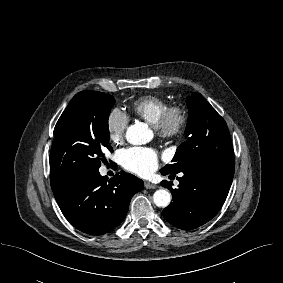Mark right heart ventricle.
Instances as JSON below:
<instances>
[{
    "label": "right heart ventricle",
    "mask_w": 283,
    "mask_h": 283,
    "mask_svg": "<svg viewBox=\"0 0 283 283\" xmlns=\"http://www.w3.org/2000/svg\"><path fill=\"white\" fill-rule=\"evenodd\" d=\"M168 106L169 102L161 96L145 95L132 103L130 111L155 127Z\"/></svg>",
    "instance_id": "e07e8e85"
}]
</instances>
